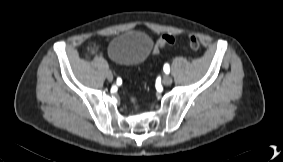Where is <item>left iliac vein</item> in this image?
I'll return each mask as SVG.
<instances>
[{
    "label": "left iliac vein",
    "mask_w": 283,
    "mask_h": 162,
    "mask_svg": "<svg viewBox=\"0 0 283 162\" xmlns=\"http://www.w3.org/2000/svg\"><path fill=\"white\" fill-rule=\"evenodd\" d=\"M172 82H173V79H172V77H170V76H168V75H165L164 77H163V84L164 85H171L172 84Z\"/></svg>",
    "instance_id": "left-iliac-vein-1"
}]
</instances>
